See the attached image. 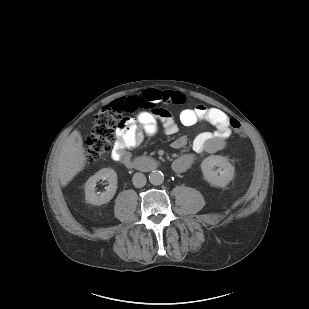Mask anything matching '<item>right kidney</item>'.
I'll return each instance as SVG.
<instances>
[{
    "mask_svg": "<svg viewBox=\"0 0 309 309\" xmlns=\"http://www.w3.org/2000/svg\"><path fill=\"white\" fill-rule=\"evenodd\" d=\"M101 179H107L109 185L106 191L102 193L95 192L96 182ZM117 190V174L111 168H103L94 176H91L85 185V200L92 205H102L109 202Z\"/></svg>",
    "mask_w": 309,
    "mask_h": 309,
    "instance_id": "1",
    "label": "right kidney"
}]
</instances>
